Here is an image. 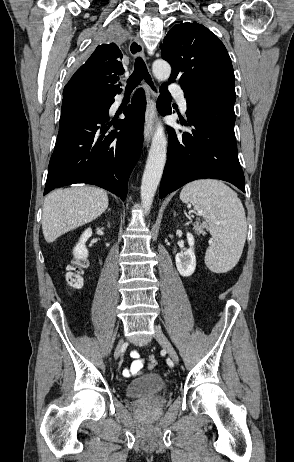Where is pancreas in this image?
I'll return each mask as SVG.
<instances>
[{
    "label": "pancreas",
    "mask_w": 294,
    "mask_h": 462,
    "mask_svg": "<svg viewBox=\"0 0 294 462\" xmlns=\"http://www.w3.org/2000/svg\"><path fill=\"white\" fill-rule=\"evenodd\" d=\"M193 230L196 233V235L205 234L203 225L197 224V225L194 226Z\"/></svg>",
    "instance_id": "cf45deb5"
}]
</instances>
